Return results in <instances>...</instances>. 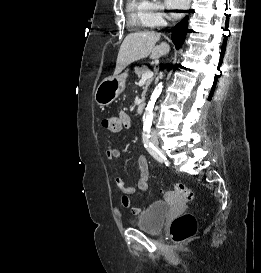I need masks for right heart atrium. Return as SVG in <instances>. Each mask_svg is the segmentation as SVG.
Here are the masks:
<instances>
[{
  "label": "right heart atrium",
  "mask_w": 261,
  "mask_h": 273,
  "mask_svg": "<svg viewBox=\"0 0 261 273\" xmlns=\"http://www.w3.org/2000/svg\"><path fill=\"white\" fill-rule=\"evenodd\" d=\"M149 17L153 26H161L167 19V14L163 11V6L156 2H149Z\"/></svg>",
  "instance_id": "obj_1"
}]
</instances>
